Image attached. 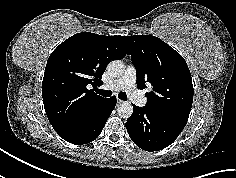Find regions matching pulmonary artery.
Segmentation results:
<instances>
[{"instance_id": "1", "label": "pulmonary artery", "mask_w": 236, "mask_h": 178, "mask_svg": "<svg viewBox=\"0 0 236 178\" xmlns=\"http://www.w3.org/2000/svg\"><path fill=\"white\" fill-rule=\"evenodd\" d=\"M137 71L132 65H129L124 75L112 83L111 85L105 86L104 88L111 91H125L128 97L138 106H144L147 103V98L144 94L137 89Z\"/></svg>"}]
</instances>
